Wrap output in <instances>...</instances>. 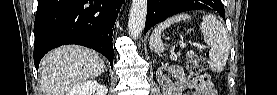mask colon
Masks as SVG:
<instances>
[{
    "mask_svg": "<svg viewBox=\"0 0 277 95\" xmlns=\"http://www.w3.org/2000/svg\"><path fill=\"white\" fill-rule=\"evenodd\" d=\"M208 68L207 59L200 53H195L187 64L190 74H203Z\"/></svg>",
    "mask_w": 277,
    "mask_h": 95,
    "instance_id": "5ec220e1",
    "label": "colon"
}]
</instances>
